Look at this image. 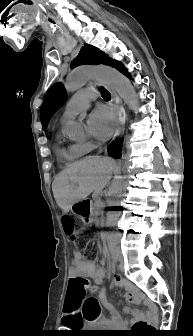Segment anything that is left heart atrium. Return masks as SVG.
Segmentation results:
<instances>
[{"label": "left heart atrium", "instance_id": "1", "mask_svg": "<svg viewBox=\"0 0 193 336\" xmlns=\"http://www.w3.org/2000/svg\"><path fill=\"white\" fill-rule=\"evenodd\" d=\"M115 118L106 108L94 110L88 117L87 128L89 133L99 140H106L113 133Z\"/></svg>", "mask_w": 193, "mask_h": 336}]
</instances>
